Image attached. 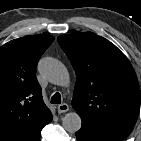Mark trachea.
I'll return each mask as SVG.
<instances>
[{
    "mask_svg": "<svg viewBox=\"0 0 141 141\" xmlns=\"http://www.w3.org/2000/svg\"><path fill=\"white\" fill-rule=\"evenodd\" d=\"M61 103V95L60 93H55L52 97H51V104H60Z\"/></svg>",
    "mask_w": 141,
    "mask_h": 141,
    "instance_id": "trachea-1",
    "label": "trachea"
}]
</instances>
